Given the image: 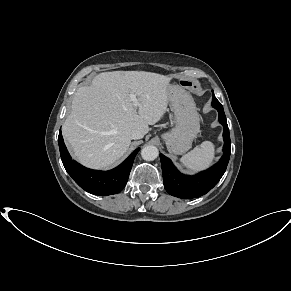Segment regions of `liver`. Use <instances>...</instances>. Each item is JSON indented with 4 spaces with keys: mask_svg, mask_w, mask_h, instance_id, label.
I'll use <instances>...</instances> for the list:
<instances>
[{
    "mask_svg": "<svg viewBox=\"0 0 291 291\" xmlns=\"http://www.w3.org/2000/svg\"><path fill=\"white\" fill-rule=\"evenodd\" d=\"M170 79L144 71L98 74L78 88L62 133L80 163L91 168L115 164L128 150L131 133L144 135L167 110ZM137 96L138 113L130 94Z\"/></svg>",
    "mask_w": 291,
    "mask_h": 291,
    "instance_id": "6515ba94",
    "label": "liver"
}]
</instances>
